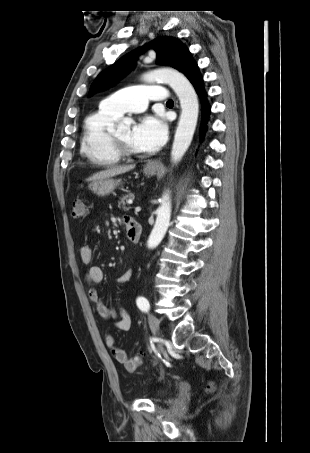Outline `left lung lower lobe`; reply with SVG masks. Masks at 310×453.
I'll return each instance as SVG.
<instances>
[{"mask_svg": "<svg viewBox=\"0 0 310 453\" xmlns=\"http://www.w3.org/2000/svg\"><path fill=\"white\" fill-rule=\"evenodd\" d=\"M181 72L190 80L193 84L196 93L198 94L201 100V110H202V122H201V129L200 135L203 136L207 126V118L210 112V107L206 100V92L203 88V79L199 73L198 66L193 60L192 57H189L185 62L184 66L181 69Z\"/></svg>", "mask_w": 310, "mask_h": 453, "instance_id": "1", "label": "left lung lower lobe"}]
</instances>
